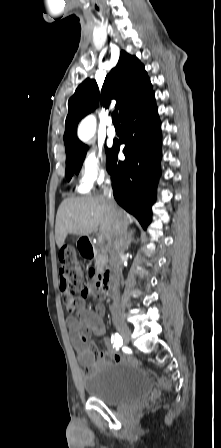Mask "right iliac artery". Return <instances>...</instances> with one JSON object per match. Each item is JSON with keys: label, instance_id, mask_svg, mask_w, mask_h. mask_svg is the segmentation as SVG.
<instances>
[{"label": "right iliac artery", "instance_id": "1", "mask_svg": "<svg viewBox=\"0 0 221 448\" xmlns=\"http://www.w3.org/2000/svg\"><path fill=\"white\" fill-rule=\"evenodd\" d=\"M111 342L113 343V345L116 347L117 350L123 344L122 337L118 333H115V335H112Z\"/></svg>", "mask_w": 221, "mask_h": 448}]
</instances>
